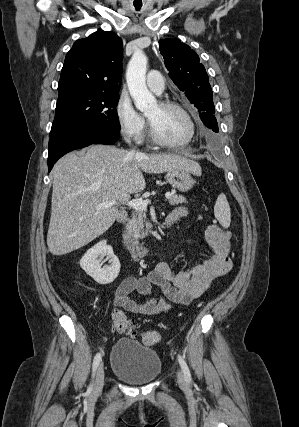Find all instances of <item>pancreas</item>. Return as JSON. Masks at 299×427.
I'll return each mask as SVG.
<instances>
[{"instance_id":"pancreas-1","label":"pancreas","mask_w":299,"mask_h":427,"mask_svg":"<svg viewBox=\"0 0 299 427\" xmlns=\"http://www.w3.org/2000/svg\"><path fill=\"white\" fill-rule=\"evenodd\" d=\"M168 202L170 205H178L185 202V198L181 195L171 193V197L168 198ZM150 229L151 224L146 219L145 211L138 210L133 214L132 219L127 224L126 236L130 240L137 241L139 238L143 239L147 237Z\"/></svg>"}]
</instances>
